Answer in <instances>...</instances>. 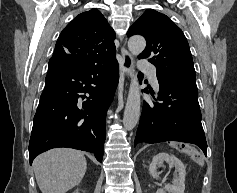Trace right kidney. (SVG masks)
<instances>
[{
    "mask_svg": "<svg viewBox=\"0 0 237 193\" xmlns=\"http://www.w3.org/2000/svg\"><path fill=\"white\" fill-rule=\"evenodd\" d=\"M73 193H78V191H74Z\"/></svg>",
    "mask_w": 237,
    "mask_h": 193,
    "instance_id": "1",
    "label": "right kidney"
}]
</instances>
